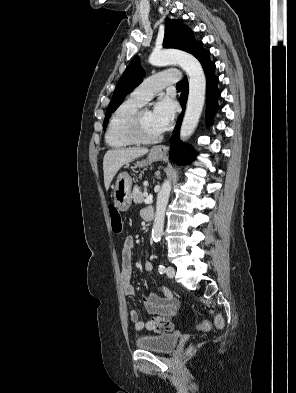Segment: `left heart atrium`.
<instances>
[{"label":"left heart atrium","mask_w":296,"mask_h":393,"mask_svg":"<svg viewBox=\"0 0 296 393\" xmlns=\"http://www.w3.org/2000/svg\"><path fill=\"white\" fill-rule=\"evenodd\" d=\"M152 114V122L159 133L166 131L175 115V104L169 98H162L154 105Z\"/></svg>","instance_id":"left-heart-atrium-1"}]
</instances>
